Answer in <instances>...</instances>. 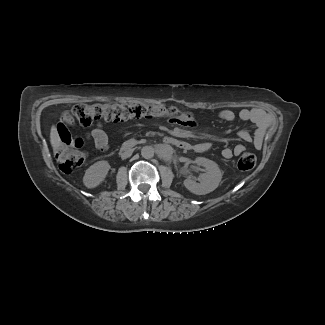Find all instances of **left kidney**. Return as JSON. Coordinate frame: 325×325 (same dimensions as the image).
<instances>
[{
  "mask_svg": "<svg viewBox=\"0 0 325 325\" xmlns=\"http://www.w3.org/2000/svg\"><path fill=\"white\" fill-rule=\"evenodd\" d=\"M194 163L204 167L205 173L201 174L200 183L188 177L183 182L184 186L196 195H205L214 191L222 179V172L218 165L205 157L195 158Z\"/></svg>",
  "mask_w": 325,
  "mask_h": 325,
  "instance_id": "left-kidney-1",
  "label": "left kidney"
}]
</instances>
